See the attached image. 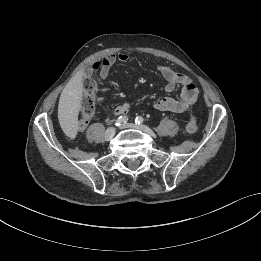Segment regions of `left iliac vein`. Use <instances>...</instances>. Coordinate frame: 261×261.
Masks as SVG:
<instances>
[{
    "instance_id": "obj_1",
    "label": "left iliac vein",
    "mask_w": 261,
    "mask_h": 261,
    "mask_svg": "<svg viewBox=\"0 0 261 261\" xmlns=\"http://www.w3.org/2000/svg\"><path fill=\"white\" fill-rule=\"evenodd\" d=\"M121 128H131V129H137L140 130L142 132H145L151 136H154V132L146 125H139V124H135V123H127V124H123L121 126Z\"/></svg>"
}]
</instances>
